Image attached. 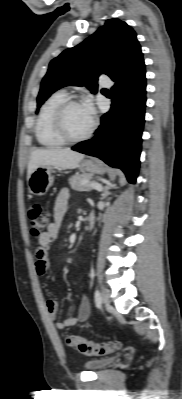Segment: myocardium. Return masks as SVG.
<instances>
[{"label":"myocardium","mask_w":182,"mask_h":399,"mask_svg":"<svg viewBox=\"0 0 182 399\" xmlns=\"http://www.w3.org/2000/svg\"><path fill=\"white\" fill-rule=\"evenodd\" d=\"M74 105H83V103L76 98H68L58 106L54 113L53 123L55 132L65 143H79L89 139L96 127V121L92 118L91 125L85 134L79 137L71 136L66 128L65 115L68 109Z\"/></svg>","instance_id":"obj_1"}]
</instances>
